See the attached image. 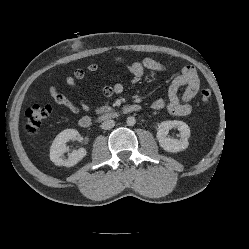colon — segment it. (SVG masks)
<instances>
[{
	"instance_id": "5ec220e1",
	"label": "colon",
	"mask_w": 249,
	"mask_h": 249,
	"mask_svg": "<svg viewBox=\"0 0 249 249\" xmlns=\"http://www.w3.org/2000/svg\"><path fill=\"white\" fill-rule=\"evenodd\" d=\"M201 99L208 101L211 98V90L204 88L201 90ZM51 107L47 105H33L26 111V130L29 134H35L45 119L51 114Z\"/></svg>"
}]
</instances>
